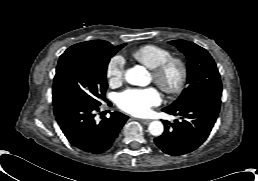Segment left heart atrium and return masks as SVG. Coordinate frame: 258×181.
<instances>
[{
	"mask_svg": "<svg viewBox=\"0 0 258 181\" xmlns=\"http://www.w3.org/2000/svg\"><path fill=\"white\" fill-rule=\"evenodd\" d=\"M160 102V93L154 87L129 89L118 96L119 108L136 116L148 114L152 107L159 105Z\"/></svg>",
	"mask_w": 258,
	"mask_h": 181,
	"instance_id": "39dd6f15",
	"label": "left heart atrium"
}]
</instances>
